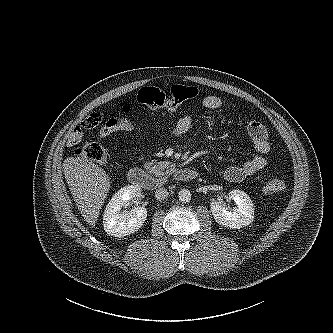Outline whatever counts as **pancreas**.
Returning a JSON list of instances; mask_svg holds the SVG:
<instances>
[{
  "label": "pancreas",
  "instance_id": "cf45deb5",
  "mask_svg": "<svg viewBox=\"0 0 333 333\" xmlns=\"http://www.w3.org/2000/svg\"><path fill=\"white\" fill-rule=\"evenodd\" d=\"M145 168L158 177H169L175 171L174 165L166 161H149L145 164Z\"/></svg>",
  "mask_w": 333,
  "mask_h": 333
}]
</instances>
